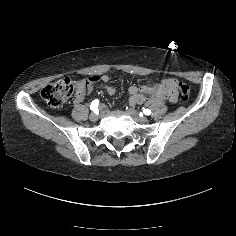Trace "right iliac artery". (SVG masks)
<instances>
[{"instance_id":"obj_1","label":"right iliac artery","mask_w":236,"mask_h":236,"mask_svg":"<svg viewBox=\"0 0 236 236\" xmlns=\"http://www.w3.org/2000/svg\"><path fill=\"white\" fill-rule=\"evenodd\" d=\"M98 105H99V100L95 99L92 101L91 105H90V109L94 112H96L98 110Z\"/></svg>"}]
</instances>
